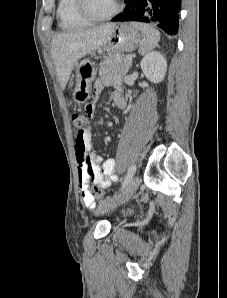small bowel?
<instances>
[{
  "label": "small bowel",
  "mask_w": 227,
  "mask_h": 298,
  "mask_svg": "<svg viewBox=\"0 0 227 298\" xmlns=\"http://www.w3.org/2000/svg\"><path fill=\"white\" fill-rule=\"evenodd\" d=\"M109 83L108 79L98 82L95 86L96 94L98 95L103 86ZM112 98L114 103L116 101L121 102V108L125 106L124 96L119 90L113 93ZM82 108L85 115H96L94 104H83ZM91 140L92 133L91 130H88L84 135V154L81 156L76 149L75 151L81 199L86 206L93 208L95 203L94 197L89 190L90 183H94L100 189H106L112 182H118L119 177L115 173L116 163L113 159L104 160L100 155L91 152Z\"/></svg>",
  "instance_id": "c3829d8e"
}]
</instances>
